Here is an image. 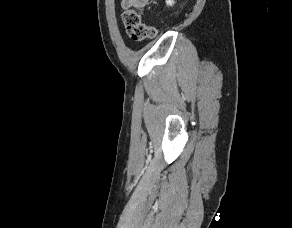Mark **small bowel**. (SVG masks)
Masks as SVG:
<instances>
[{"mask_svg":"<svg viewBox=\"0 0 292 228\" xmlns=\"http://www.w3.org/2000/svg\"><path fill=\"white\" fill-rule=\"evenodd\" d=\"M148 0H121V7L127 9L130 7L144 6Z\"/></svg>","mask_w":292,"mask_h":228,"instance_id":"small-bowel-1","label":"small bowel"}]
</instances>
